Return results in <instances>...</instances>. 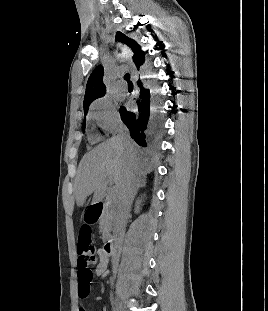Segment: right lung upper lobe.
Returning a JSON list of instances; mask_svg holds the SVG:
<instances>
[{"mask_svg":"<svg viewBox=\"0 0 268 311\" xmlns=\"http://www.w3.org/2000/svg\"><path fill=\"white\" fill-rule=\"evenodd\" d=\"M116 39L122 43H124L127 47H129L132 52V60L136 65L137 69L143 64L145 60V54L141 50L139 44L125 34L121 32H117ZM103 67L101 65L97 66L93 72L91 73L90 77L88 78L86 84V91L84 96V112L88 111L89 105L97 98L102 97L105 95V85L103 83Z\"/></svg>","mask_w":268,"mask_h":311,"instance_id":"cb5924a9","label":"right lung upper lobe"}]
</instances>
